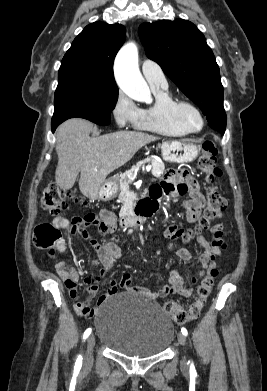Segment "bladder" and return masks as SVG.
<instances>
[{
  "mask_svg": "<svg viewBox=\"0 0 267 391\" xmlns=\"http://www.w3.org/2000/svg\"><path fill=\"white\" fill-rule=\"evenodd\" d=\"M95 326L103 345L130 357L158 355L174 338L173 322L161 307L132 292L115 294L102 303Z\"/></svg>",
  "mask_w": 267,
  "mask_h": 391,
  "instance_id": "1",
  "label": "bladder"
}]
</instances>
